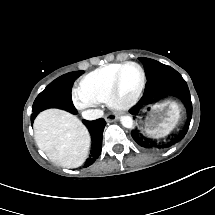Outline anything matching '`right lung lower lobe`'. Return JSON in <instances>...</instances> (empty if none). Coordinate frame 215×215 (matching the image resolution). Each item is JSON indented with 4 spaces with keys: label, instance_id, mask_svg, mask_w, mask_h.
Instances as JSON below:
<instances>
[{
    "label": "right lung lower lobe",
    "instance_id": "98d812e1",
    "mask_svg": "<svg viewBox=\"0 0 215 215\" xmlns=\"http://www.w3.org/2000/svg\"><path fill=\"white\" fill-rule=\"evenodd\" d=\"M34 119L35 118H31L32 123ZM84 124L87 126L92 136V147H91L90 155L84 165V167H88L91 164H93L101 154L102 135H103V130L106 125V122L103 119H97L94 121H84Z\"/></svg>",
    "mask_w": 215,
    "mask_h": 215
}]
</instances>
